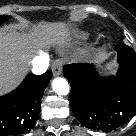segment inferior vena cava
<instances>
[{
  "mask_svg": "<svg viewBox=\"0 0 136 136\" xmlns=\"http://www.w3.org/2000/svg\"><path fill=\"white\" fill-rule=\"evenodd\" d=\"M32 72L34 74L40 75L46 72L49 66V56L47 54H41L36 56L31 61Z\"/></svg>",
  "mask_w": 136,
  "mask_h": 136,
  "instance_id": "602c4592",
  "label": "inferior vena cava"
}]
</instances>
